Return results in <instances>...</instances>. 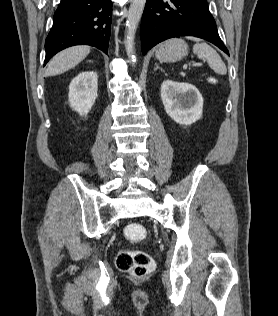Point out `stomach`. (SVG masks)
I'll list each match as a JSON object with an SVG mask.
<instances>
[{
	"mask_svg": "<svg viewBox=\"0 0 278 316\" xmlns=\"http://www.w3.org/2000/svg\"><path fill=\"white\" fill-rule=\"evenodd\" d=\"M187 54V44L181 39H173L160 45L155 56L161 62H176Z\"/></svg>",
	"mask_w": 278,
	"mask_h": 316,
	"instance_id": "0dacf381",
	"label": "stomach"
}]
</instances>
